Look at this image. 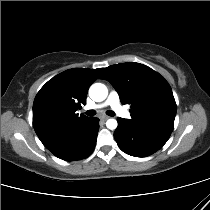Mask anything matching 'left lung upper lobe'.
<instances>
[{"instance_id": "1", "label": "left lung upper lobe", "mask_w": 210, "mask_h": 210, "mask_svg": "<svg viewBox=\"0 0 210 210\" xmlns=\"http://www.w3.org/2000/svg\"><path fill=\"white\" fill-rule=\"evenodd\" d=\"M118 92L123 104L131 105L129 126L171 134L176 103L168 82L150 67L134 62L105 68L100 76Z\"/></svg>"}]
</instances>
